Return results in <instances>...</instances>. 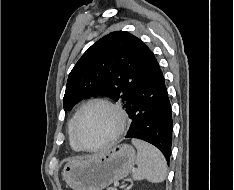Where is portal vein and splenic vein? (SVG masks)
I'll return each mask as SVG.
<instances>
[{
	"label": "portal vein and splenic vein",
	"mask_w": 234,
	"mask_h": 190,
	"mask_svg": "<svg viewBox=\"0 0 234 190\" xmlns=\"http://www.w3.org/2000/svg\"><path fill=\"white\" fill-rule=\"evenodd\" d=\"M114 185H115V186H119V183L116 182V183H114Z\"/></svg>",
	"instance_id": "18ae733b"
}]
</instances>
